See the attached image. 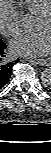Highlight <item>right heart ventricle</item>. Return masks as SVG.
Segmentation results:
<instances>
[{
	"label": "right heart ventricle",
	"mask_w": 51,
	"mask_h": 153,
	"mask_svg": "<svg viewBox=\"0 0 51 153\" xmlns=\"http://www.w3.org/2000/svg\"><path fill=\"white\" fill-rule=\"evenodd\" d=\"M25 9L32 14H38L51 5V0H23Z\"/></svg>",
	"instance_id": "e07e8e85"
}]
</instances>
